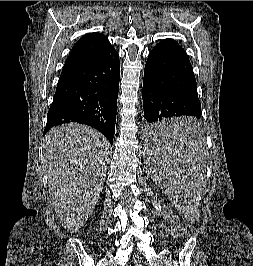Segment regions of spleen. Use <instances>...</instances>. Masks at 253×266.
Wrapping results in <instances>:
<instances>
[{
	"label": "spleen",
	"mask_w": 253,
	"mask_h": 266,
	"mask_svg": "<svg viewBox=\"0 0 253 266\" xmlns=\"http://www.w3.org/2000/svg\"><path fill=\"white\" fill-rule=\"evenodd\" d=\"M144 130L147 138H143L141 153L146 168L172 192L168 203L198 215L195 201L203 184L201 150L205 149L198 137L200 123L188 115L158 117V123H145Z\"/></svg>",
	"instance_id": "obj_1"
}]
</instances>
